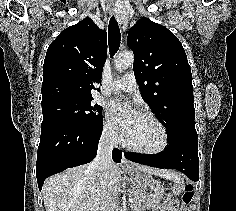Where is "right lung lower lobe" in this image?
Returning <instances> with one entry per match:
<instances>
[{
  "instance_id": "98d812e1",
  "label": "right lung lower lobe",
  "mask_w": 236,
  "mask_h": 211,
  "mask_svg": "<svg viewBox=\"0 0 236 211\" xmlns=\"http://www.w3.org/2000/svg\"><path fill=\"white\" fill-rule=\"evenodd\" d=\"M101 133L102 126L96 129L62 121L42 123L36 164L39 190L47 177L91 162L96 156ZM112 157L120 163L122 151L114 148Z\"/></svg>"
}]
</instances>
